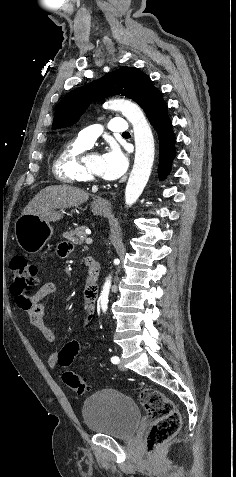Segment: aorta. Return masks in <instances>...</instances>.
I'll list each match as a JSON object with an SVG mask.
<instances>
[{
	"instance_id": "1",
	"label": "aorta",
	"mask_w": 236,
	"mask_h": 477,
	"mask_svg": "<svg viewBox=\"0 0 236 477\" xmlns=\"http://www.w3.org/2000/svg\"><path fill=\"white\" fill-rule=\"evenodd\" d=\"M104 107L120 111L133 126L135 160L125 189V203L131 206L142 194L151 174L155 154L153 134L143 111L137 104L129 100L116 99L107 102ZM110 287L111 277L109 276L100 295L103 312H106L108 308Z\"/></svg>"
}]
</instances>
